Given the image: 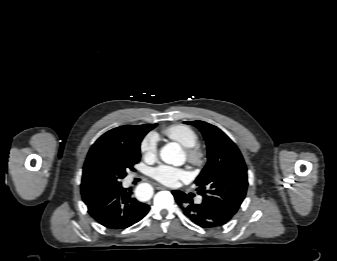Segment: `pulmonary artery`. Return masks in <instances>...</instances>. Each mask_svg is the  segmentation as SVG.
<instances>
[{
    "label": "pulmonary artery",
    "mask_w": 337,
    "mask_h": 261,
    "mask_svg": "<svg viewBox=\"0 0 337 261\" xmlns=\"http://www.w3.org/2000/svg\"><path fill=\"white\" fill-rule=\"evenodd\" d=\"M201 201H202V198L199 197V198L197 199V203H200Z\"/></svg>",
    "instance_id": "pulmonary-artery-1"
}]
</instances>
